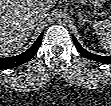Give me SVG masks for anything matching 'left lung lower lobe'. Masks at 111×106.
Wrapping results in <instances>:
<instances>
[{
	"label": "left lung lower lobe",
	"instance_id": "0a47b994",
	"mask_svg": "<svg viewBox=\"0 0 111 106\" xmlns=\"http://www.w3.org/2000/svg\"><path fill=\"white\" fill-rule=\"evenodd\" d=\"M72 38H73L75 47L84 57L104 64H111V56H100V55L92 54L81 47V45L78 43L74 35H72Z\"/></svg>",
	"mask_w": 111,
	"mask_h": 106
}]
</instances>
